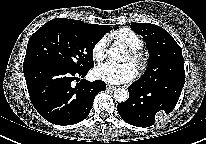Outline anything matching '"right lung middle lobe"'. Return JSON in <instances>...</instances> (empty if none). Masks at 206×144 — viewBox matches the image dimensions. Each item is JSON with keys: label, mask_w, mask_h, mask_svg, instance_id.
I'll return each instance as SVG.
<instances>
[{"label": "right lung middle lobe", "mask_w": 206, "mask_h": 144, "mask_svg": "<svg viewBox=\"0 0 206 144\" xmlns=\"http://www.w3.org/2000/svg\"><path fill=\"white\" fill-rule=\"evenodd\" d=\"M102 37L72 21L53 19L30 37L24 64L45 62L73 71L92 68L93 48Z\"/></svg>", "instance_id": "dd1d6c3e"}]
</instances>
